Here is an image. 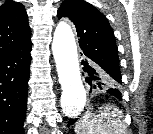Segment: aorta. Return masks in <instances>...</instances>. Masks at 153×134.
I'll return each mask as SVG.
<instances>
[{
	"label": "aorta",
	"instance_id": "aorta-1",
	"mask_svg": "<svg viewBox=\"0 0 153 134\" xmlns=\"http://www.w3.org/2000/svg\"><path fill=\"white\" fill-rule=\"evenodd\" d=\"M52 52L62 89V110L67 117H76L83 111L87 96L81 79L74 34L64 22L55 29Z\"/></svg>",
	"mask_w": 153,
	"mask_h": 134
}]
</instances>
